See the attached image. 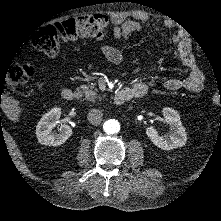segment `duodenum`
Masks as SVG:
<instances>
[{
    "label": "duodenum",
    "mask_w": 221,
    "mask_h": 221,
    "mask_svg": "<svg viewBox=\"0 0 221 221\" xmlns=\"http://www.w3.org/2000/svg\"><path fill=\"white\" fill-rule=\"evenodd\" d=\"M139 96H142V92L135 91L130 88H125V89L118 91L114 95L113 101L116 105H122L125 102L131 100L132 98L139 97ZM62 98L67 102H73L78 98V93L72 89H64L62 91Z\"/></svg>",
    "instance_id": "410a0bca"
}]
</instances>
